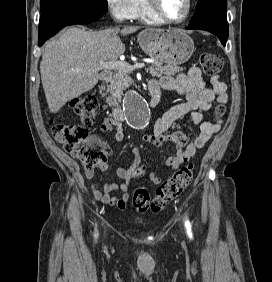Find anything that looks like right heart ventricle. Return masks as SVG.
Here are the masks:
<instances>
[{
    "label": "right heart ventricle",
    "mask_w": 272,
    "mask_h": 282,
    "mask_svg": "<svg viewBox=\"0 0 272 282\" xmlns=\"http://www.w3.org/2000/svg\"><path fill=\"white\" fill-rule=\"evenodd\" d=\"M142 2L140 12L137 15L138 19L142 20L147 24H160L162 23L157 17L151 14L148 9L146 8L145 0H140Z\"/></svg>",
    "instance_id": "right-heart-ventricle-1"
}]
</instances>
